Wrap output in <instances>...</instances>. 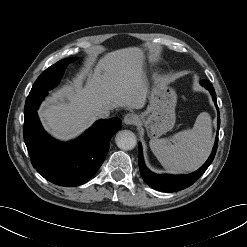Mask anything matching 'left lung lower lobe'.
I'll use <instances>...</instances> for the list:
<instances>
[{
    "mask_svg": "<svg viewBox=\"0 0 247 247\" xmlns=\"http://www.w3.org/2000/svg\"><path fill=\"white\" fill-rule=\"evenodd\" d=\"M207 90L212 95V99L215 102V105L218 110L217 106V100H216V93L214 91V88L212 84L206 80H203L200 82ZM218 116H219V111H218ZM217 137L214 143L213 151L209 157V159L206 161V163L198 169L196 172L191 173L189 175H178V176H173V175H156L149 171L143 161V156H142V148L141 144L139 143V168H140V173L143 178V180L152 188L163 191V192H174V191H179L183 190L189 186H191L194 182L199 179L202 174L206 171V169L209 167V165L212 163L216 150H217V144H218V132H219V127H220V119L218 118L217 121Z\"/></svg>",
    "mask_w": 247,
    "mask_h": 247,
    "instance_id": "1",
    "label": "left lung lower lobe"
}]
</instances>
